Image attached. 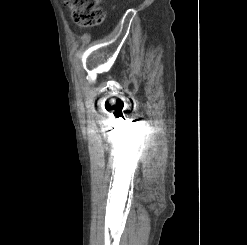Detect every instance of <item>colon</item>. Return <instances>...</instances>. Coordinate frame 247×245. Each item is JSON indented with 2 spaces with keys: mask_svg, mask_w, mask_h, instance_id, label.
Here are the masks:
<instances>
[{
  "mask_svg": "<svg viewBox=\"0 0 247 245\" xmlns=\"http://www.w3.org/2000/svg\"><path fill=\"white\" fill-rule=\"evenodd\" d=\"M69 7L72 18L80 26L101 24L105 18V10L100 6V0H63Z\"/></svg>",
  "mask_w": 247,
  "mask_h": 245,
  "instance_id": "1",
  "label": "colon"
}]
</instances>
